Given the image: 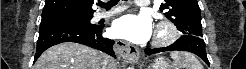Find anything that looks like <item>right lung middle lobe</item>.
Segmentation results:
<instances>
[{
  "label": "right lung middle lobe",
  "mask_w": 246,
  "mask_h": 69,
  "mask_svg": "<svg viewBox=\"0 0 246 69\" xmlns=\"http://www.w3.org/2000/svg\"><path fill=\"white\" fill-rule=\"evenodd\" d=\"M93 14H59L52 16L42 17L41 24L50 22H61V23H80L92 25L90 20Z\"/></svg>",
  "instance_id": "right-lung-middle-lobe-1"
}]
</instances>
